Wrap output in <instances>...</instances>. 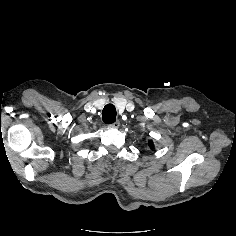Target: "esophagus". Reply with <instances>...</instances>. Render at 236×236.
<instances>
[{
	"instance_id": "1",
	"label": "esophagus",
	"mask_w": 236,
	"mask_h": 236,
	"mask_svg": "<svg viewBox=\"0 0 236 236\" xmlns=\"http://www.w3.org/2000/svg\"><path fill=\"white\" fill-rule=\"evenodd\" d=\"M112 128H118L120 126V122L119 121H115L114 123H112L110 125Z\"/></svg>"
}]
</instances>
